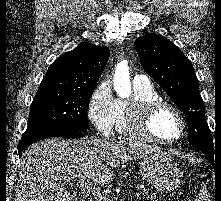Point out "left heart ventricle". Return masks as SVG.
Here are the masks:
<instances>
[{
	"mask_svg": "<svg viewBox=\"0 0 221 201\" xmlns=\"http://www.w3.org/2000/svg\"><path fill=\"white\" fill-rule=\"evenodd\" d=\"M150 129L154 135L162 139H174L181 132L177 117L169 110L158 112L150 123Z\"/></svg>",
	"mask_w": 221,
	"mask_h": 201,
	"instance_id": "left-heart-ventricle-1",
	"label": "left heart ventricle"
}]
</instances>
